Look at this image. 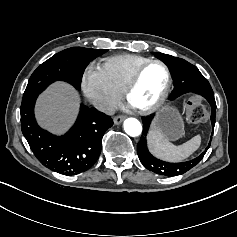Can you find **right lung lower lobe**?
<instances>
[{
  "label": "right lung lower lobe",
  "instance_id": "1",
  "mask_svg": "<svg viewBox=\"0 0 237 237\" xmlns=\"http://www.w3.org/2000/svg\"><path fill=\"white\" fill-rule=\"evenodd\" d=\"M36 97L22 101L21 128L38 160L47 168L77 175L91 168L99 158L102 137L113 120L95 108L81 105L75 125L64 136H55L41 129L34 117Z\"/></svg>",
  "mask_w": 237,
  "mask_h": 237
}]
</instances>
